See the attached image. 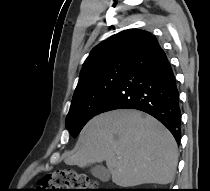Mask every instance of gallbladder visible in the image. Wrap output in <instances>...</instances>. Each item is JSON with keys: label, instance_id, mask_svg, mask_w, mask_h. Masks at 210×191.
<instances>
[{"label": "gallbladder", "instance_id": "obj_1", "mask_svg": "<svg viewBox=\"0 0 210 191\" xmlns=\"http://www.w3.org/2000/svg\"><path fill=\"white\" fill-rule=\"evenodd\" d=\"M92 174L101 179V180H108L109 179V173L102 165H96L91 169Z\"/></svg>", "mask_w": 210, "mask_h": 191}]
</instances>
